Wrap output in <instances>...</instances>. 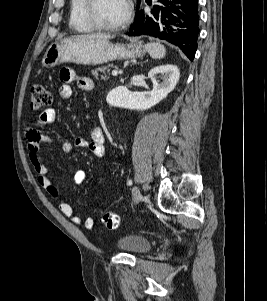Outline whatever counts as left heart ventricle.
I'll return each mask as SVG.
<instances>
[{"label": "left heart ventricle", "mask_w": 267, "mask_h": 301, "mask_svg": "<svg viewBox=\"0 0 267 301\" xmlns=\"http://www.w3.org/2000/svg\"><path fill=\"white\" fill-rule=\"evenodd\" d=\"M126 11L125 0H98L96 15L104 24H115L119 22Z\"/></svg>", "instance_id": "obj_1"}]
</instances>
